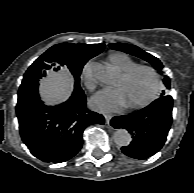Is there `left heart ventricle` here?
<instances>
[{"label":"left heart ventricle","instance_id":"left-heart-ventricle-1","mask_svg":"<svg viewBox=\"0 0 194 193\" xmlns=\"http://www.w3.org/2000/svg\"><path fill=\"white\" fill-rule=\"evenodd\" d=\"M115 87L122 90L126 105L134 104L149 95L153 77L148 71L139 70L126 80L120 77Z\"/></svg>","mask_w":194,"mask_h":193}]
</instances>
